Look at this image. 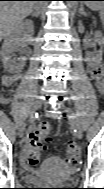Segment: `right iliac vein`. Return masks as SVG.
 I'll list each match as a JSON object with an SVG mask.
<instances>
[{
	"label": "right iliac vein",
	"mask_w": 104,
	"mask_h": 189,
	"mask_svg": "<svg viewBox=\"0 0 104 189\" xmlns=\"http://www.w3.org/2000/svg\"><path fill=\"white\" fill-rule=\"evenodd\" d=\"M41 106H42V99L37 98L33 103V111L38 110ZM24 133H25V124H23L18 131L19 137H23Z\"/></svg>",
	"instance_id": "63e3f726"
}]
</instances>
